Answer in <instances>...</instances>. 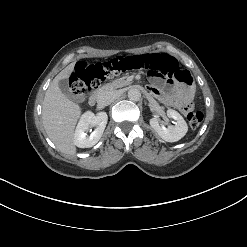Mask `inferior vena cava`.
<instances>
[{
  "label": "inferior vena cava",
  "instance_id": "inferior-vena-cava-1",
  "mask_svg": "<svg viewBox=\"0 0 247 247\" xmlns=\"http://www.w3.org/2000/svg\"><path fill=\"white\" fill-rule=\"evenodd\" d=\"M117 97L118 94L116 91H105L99 95L98 103L103 106H107L111 104Z\"/></svg>",
  "mask_w": 247,
  "mask_h": 247
}]
</instances>
